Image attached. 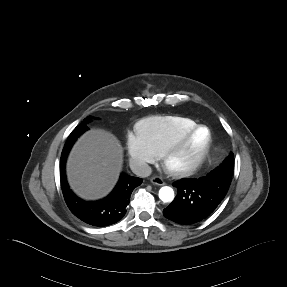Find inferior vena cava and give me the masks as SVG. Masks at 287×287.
I'll list each match as a JSON object with an SVG mask.
<instances>
[{"label": "inferior vena cava", "mask_w": 287, "mask_h": 287, "mask_svg": "<svg viewBox=\"0 0 287 287\" xmlns=\"http://www.w3.org/2000/svg\"><path fill=\"white\" fill-rule=\"evenodd\" d=\"M130 168L139 177H148L152 172L151 167L147 163L137 159L130 161Z\"/></svg>", "instance_id": "inferior-vena-cava-1"}]
</instances>
